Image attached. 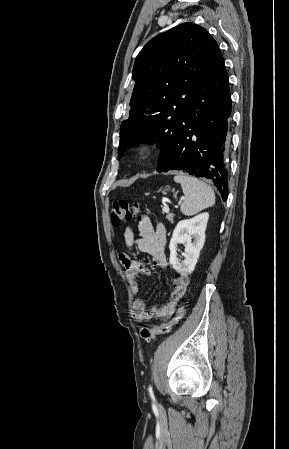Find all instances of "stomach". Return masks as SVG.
I'll return each instance as SVG.
<instances>
[{
	"instance_id": "0dacf381",
	"label": "stomach",
	"mask_w": 289,
	"mask_h": 449,
	"mask_svg": "<svg viewBox=\"0 0 289 449\" xmlns=\"http://www.w3.org/2000/svg\"><path fill=\"white\" fill-rule=\"evenodd\" d=\"M168 190H169V188H166V190H164L163 193H164L165 191H168ZM160 191H161V189H160Z\"/></svg>"
}]
</instances>
